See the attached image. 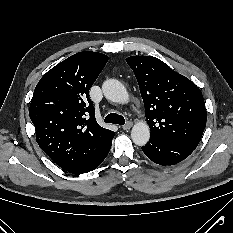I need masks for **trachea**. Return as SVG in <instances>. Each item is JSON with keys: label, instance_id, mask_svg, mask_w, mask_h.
I'll return each mask as SVG.
<instances>
[{"label": "trachea", "instance_id": "1", "mask_svg": "<svg viewBox=\"0 0 233 233\" xmlns=\"http://www.w3.org/2000/svg\"><path fill=\"white\" fill-rule=\"evenodd\" d=\"M104 122L124 125L125 124V119H124L123 116H121L119 114L110 113L105 117Z\"/></svg>", "mask_w": 233, "mask_h": 233}]
</instances>
